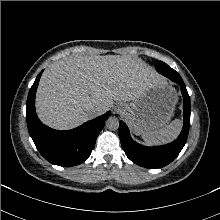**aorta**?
<instances>
[{
  "label": "aorta",
  "mask_w": 220,
  "mask_h": 220,
  "mask_svg": "<svg viewBox=\"0 0 220 220\" xmlns=\"http://www.w3.org/2000/svg\"><path fill=\"white\" fill-rule=\"evenodd\" d=\"M106 126L110 130H117L119 128V120L115 117H110L106 121Z\"/></svg>",
  "instance_id": "762f6f07"
}]
</instances>
